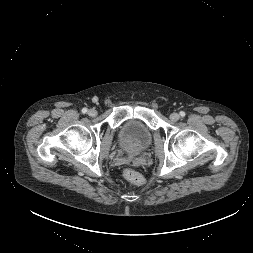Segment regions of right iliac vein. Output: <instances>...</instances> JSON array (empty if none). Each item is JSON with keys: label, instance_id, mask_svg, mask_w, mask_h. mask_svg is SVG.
<instances>
[{"label": "right iliac vein", "instance_id": "1", "mask_svg": "<svg viewBox=\"0 0 253 253\" xmlns=\"http://www.w3.org/2000/svg\"><path fill=\"white\" fill-rule=\"evenodd\" d=\"M88 115L91 117H95L97 115V111L95 109L88 110Z\"/></svg>", "mask_w": 253, "mask_h": 253}]
</instances>
